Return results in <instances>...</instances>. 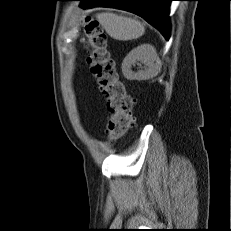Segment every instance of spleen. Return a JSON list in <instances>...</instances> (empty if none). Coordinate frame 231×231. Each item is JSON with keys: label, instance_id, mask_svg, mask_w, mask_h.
<instances>
[{"label": "spleen", "instance_id": "obj_1", "mask_svg": "<svg viewBox=\"0 0 231 231\" xmlns=\"http://www.w3.org/2000/svg\"><path fill=\"white\" fill-rule=\"evenodd\" d=\"M96 18L108 35L116 40L137 39L145 32L144 25L139 20L130 17L106 12L97 14Z\"/></svg>", "mask_w": 231, "mask_h": 231}]
</instances>
